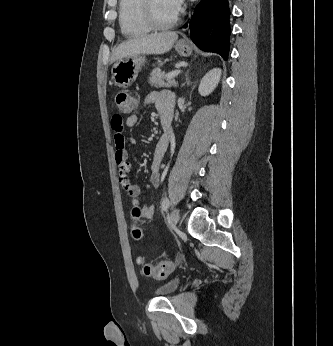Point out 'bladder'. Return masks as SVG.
Listing matches in <instances>:
<instances>
[{
  "mask_svg": "<svg viewBox=\"0 0 333 346\" xmlns=\"http://www.w3.org/2000/svg\"><path fill=\"white\" fill-rule=\"evenodd\" d=\"M180 284L179 277H174L167 282L161 284L157 289L155 290V293L159 296L166 297L173 294L176 289L178 288Z\"/></svg>",
  "mask_w": 333,
  "mask_h": 346,
  "instance_id": "bladder-1",
  "label": "bladder"
}]
</instances>
